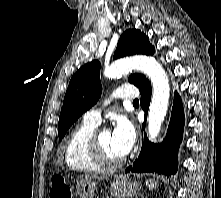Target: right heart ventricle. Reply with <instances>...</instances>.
Returning a JSON list of instances; mask_svg holds the SVG:
<instances>
[{"mask_svg":"<svg viewBox=\"0 0 221 198\" xmlns=\"http://www.w3.org/2000/svg\"><path fill=\"white\" fill-rule=\"evenodd\" d=\"M97 125L86 120L79 123L67 136L64 160L66 165L79 172H97L101 169L93 160L89 140Z\"/></svg>","mask_w":221,"mask_h":198,"instance_id":"obj_1","label":"right heart ventricle"}]
</instances>
